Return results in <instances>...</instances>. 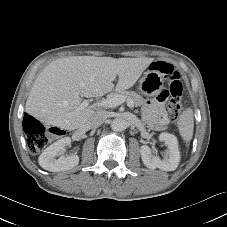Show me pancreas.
<instances>
[{"label":"pancreas","instance_id":"pancreas-1","mask_svg":"<svg viewBox=\"0 0 227 227\" xmlns=\"http://www.w3.org/2000/svg\"><path fill=\"white\" fill-rule=\"evenodd\" d=\"M113 96H122L126 101L132 100L135 106H141L144 103V98L134 91H120L115 92ZM155 129H161L160 127H156Z\"/></svg>","mask_w":227,"mask_h":227}]
</instances>
